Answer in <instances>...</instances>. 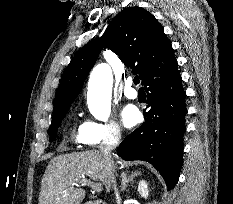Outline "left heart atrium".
I'll list each match as a JSON object with an SVG mask.
<instances>
[{"label":"left heart atrium","mask_w":233,"mask_h":204,"mask_svg":"<svg viewBox=\"0 0 233 204\" xmlns=\"http://www.w3.org/2000/svg\"><path fill=\"white\" fill-rule=\"evenodd\" d=\"M141 114L134 105H126L121 111V120L126 128L135 126L140 120Z\"/></svg>","instance_id":"39dd6f15"}]
</instances>
